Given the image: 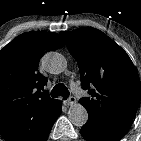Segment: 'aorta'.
Returning a JSON list of instances; mask_svg holds the SVG:
<instances>
[{
    "label": "aorta",
    "mask_w": 141,
    "mask_h": 141,
    "mask_svg": "<svg viewBox=\"0 0 141 141\" xmlns=\"http://www.w3.org/2000/svg\"><path fill=\"white\" fill-rule=\"evenodd\" d=\"M42 62L47 72L52 74H58L64 68V59L56 52L47 53ZM68 118L74 126L81 128L88 121V113L83 106L74 105L68 111Z\"/></svg>",
    "instance_id": "1"
}]
</instances>
